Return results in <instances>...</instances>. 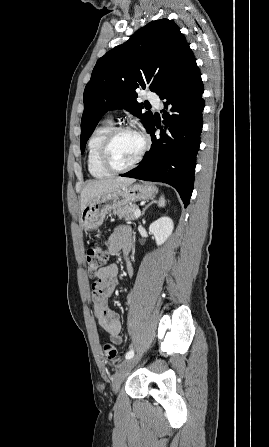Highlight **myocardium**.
Wrapping results in <instances>:
<instances>
[{
    "instance_id": "obj_1",
    "label": "myocardium",
    "mask_w": 269,
    "mask_h": 447,
    "mask_svg": "<svg viewBox=\"0 0 269 447\" xmlns=\"http://www.w3.org/2000/svg\"><path fill=\"white\" fill-rule=\"evenodd\" d=\"M129 129H136L142 133V135L144 137V146H143L141 152L139 153V155L137 156V158L131 164H129L127 166L120 167V166L115 165L111 160V153H110L111 145H112L114 138L116 137V135L118 133L125 131V130H129ZM151 143H152V141H151L150 135L143 128H141L139 126H136L133 124H123V125L113 127L103 141V144L101 147V156H100L101 163L105 168H107L111 172H115V173L131 170L132 168L137 166L143 160V158L145 157V155L151 148Z\"/></svg>"
}]
</instances>
